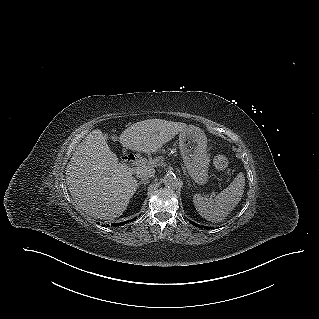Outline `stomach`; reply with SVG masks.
<instances>
[{
	"label": "stomach",
	"mask_w": 319,
	"mask_h": 319,
	"mask_svg": "<svg viewBox=\"0 0 319 319\" xmlns=\"http://www.w3.org/2000/svg\"><path fill=\"white\" fill-rule=\"evenodd\" d=\"M207 138L198 127L189 126L179 134V149L191 179L204 185L208 182L210 159L206 151Z\"/></svg>",
	"instance_id": "0dacf381"
}]
</instances>
